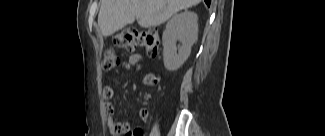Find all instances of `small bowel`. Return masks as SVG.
Wrapping results in <instances>:
<instances>
[{
  "label": "small bowel",
  "mask_w": 325,
  "mask_h": 136,
  "mask_svg": "<svg viewBox=\"0 0 325 136\" xmlns=\"http://www.w3.org/2000/svg\"><path fill=\"white\" fill-rule=\"evenodd\" d=\"M145 63V58L141 54H133L127 60L121 63L120 68L112 73V75H117L123 72L131 71L132 69H140ZM143 82L149 86H156L160 83V76L154 72H146L143 74ZM104 96L111 98L113 96V90L111 87L106 86L103 90ZM105 113L107 116V126L108 130L112 135H123L131 130V125L129 122H116L114 120L115 110L111 103L105 105ZM138 115L142 120H146L148 117V110L144 107L138 110ZM140 135L142 132L140 131Z\"/></svg>",
  "instance_id": "small-bowel-1"
}]
</instances>
